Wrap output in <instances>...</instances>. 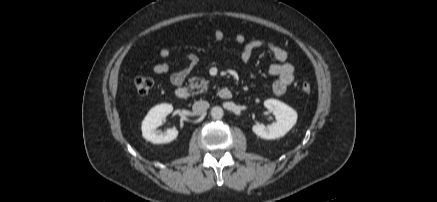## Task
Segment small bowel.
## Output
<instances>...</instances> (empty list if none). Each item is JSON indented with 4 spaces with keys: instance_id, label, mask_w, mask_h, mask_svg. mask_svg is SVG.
Wrapping results in <instances>:
<instances>
[{
    "instance_id": "c3829d8e",
    "label": "small bowel",
    "mask_w": 437,
    "mask_h": 202,
    "mask_svg": "<svg viewBox=\"0 0 437 202\" xmlns=\"http://www.w3.org/2000/svg\"><path fill=\"white\" fill-rule=\"evenodd\" d=\"M213 37L218 46L225 41L224 33L220 29L214 30ZM234 41L242 47L240 58L244 63H247L257 50H265L273 56L277 63L272 64L267 71L270 76L276 77L272 84V91L276 96L284 95L295 78V68L288 62L287 51L271 41L261 39L247 41L242 34L236 35ZM171 54L168 47H162L159 50V55L164 59H168ZM184 61L185 66L170 75V82L175 87L182 86L186 77L199 63V58L195 54H188ZM152 70L156 74H166L171 70V63L169 61L155 63L152 65Z\"/></svg>"
}]
</instances>
